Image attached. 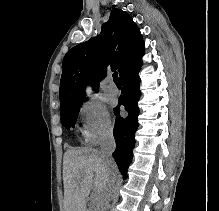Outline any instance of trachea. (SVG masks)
Masks as SVG:
<instances>
[{
    "instance_id": "obj_1",
    "label": "trachea",
    "mask_w": 219,
    "mask_h": 211,
    "mask_svg": "<svg viewBox=\"0 0 219 211\" xmlns=\"http://www.w3.org/2000/svg\"><path fill=\"white\" fill-rule=\"evenodd\" d=\"M113 81L116 85H121L122 86L121 81L118 77V73L116 71H114V73H113Z\"/></svg>"
}]
</instances>
